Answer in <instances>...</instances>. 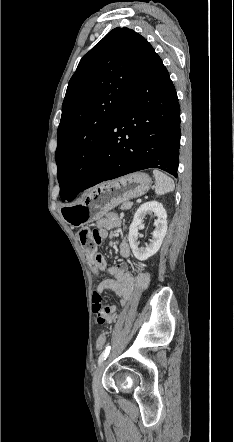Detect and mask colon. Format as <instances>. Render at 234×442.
<instances>
[{
  "label": "colon",
  "mask_w": 234,
  "mask_h": 442,
  "mask_svg": "<svg viewBox=\"0 0 234 442\" xmlns=\"http://www.w3.org/2000/svg\"><path fill=\"white\" fill-rule=\"evenodd\" d=\"M79 238H80L81 244L83 246V249L87 253L96 254L97 247L101 242L100 237L97 233V230H90L89 228H82L79 231ZM92 268L96 274L99 273V268L96 265L92 266ZM92 302H93V305H92L93 312L95 314H101L104 307L101 304L100 294L94 293L93 298H92ZM104 342H105V337L101 335L97 339V342H96V351L97 352L103 351Z\"/></svg>",
  "instance_id": "obj_1"
}]
</instances>
